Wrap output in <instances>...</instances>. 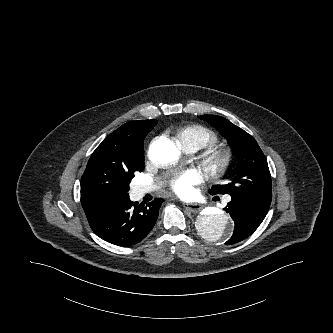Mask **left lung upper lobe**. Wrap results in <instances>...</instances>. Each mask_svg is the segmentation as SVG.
<instances>
[{
	"label": "left lung upper lobe",
	"mask_w": 333,
	"mask_h": 333,
	"mask_svg": "<svg viewBox=\"0 0 333 333\" xmlns=\"http://www.w3.org/2000/svg\"><path fill=\"white\" fill-rule=\"evenodd\" d=\"M200 118L215 125L240 156V162L235 171L227 177L229 182L214 185L209 193L212 195L229 194L231 198L270 204L272 199L271 175L267 160L256 140L223 117L202 115Z\"/></svg>",
	"instance_id": "5c2ea615"
}]
</instances>
